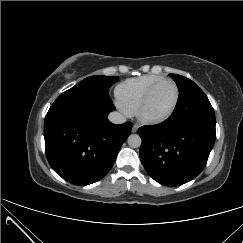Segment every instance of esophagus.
Masks as SVG:
<instances>
[{
	"label": "esophagus",
	"mask_w": 243,
	"mask_h": 243,
	"mask_svg": "<svg viewBox=\"0 0 243 243\" xmlns=\"http://www.w3.org/2000/svg\"><path fill=\"white\" fill-rule=\"evenodd\" d=\"M137 130H138V125L134 124L132 127V132L135 133V132H137Z\"/></svg>",
	"instance_id": "34e87169"
}]
</instances>
